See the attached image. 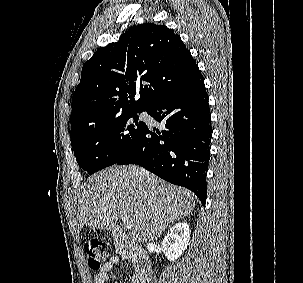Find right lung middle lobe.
<instances>
[{"mask_svg": "<svg viewBox=\"0 0 303 283\" xmlns=\"http://www.w3.org/2000/svg\"><path fill=\"white\" fill-rule=\"evenodd\" d=\"M133 111L115 119L86 126L71 134L78 165L93 174L116 164L134 146L147 125Z\"/></svg>", "mask_w": 303, "mask_h": 283, "instance_id": "dd1d6c3e", "label": "right lung middle lobe"}]
</instances>
